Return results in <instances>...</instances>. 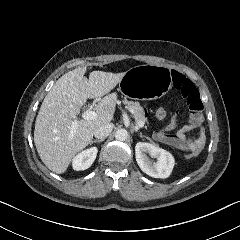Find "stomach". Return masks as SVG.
I'll use <instances>...</instances> for the list:
<instances>
[{"label": "stomach", "mask_w": 240, "mask_h": 240, "mask_svg": "<svg viewBox=\"0 0 240 240\" xmlns=\"http://www.w3.org/2000/svg\"><path fill=\"white\" fill-rule=\"evenodd\" d=\"M118 84V90L128 99L155 100L171 88L170 72L164 67L135 66L124 73Z\"/></svg>", "instance_id": "obj_1"}]
</instances>
